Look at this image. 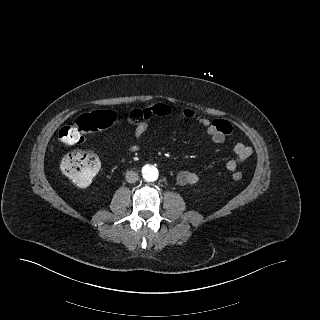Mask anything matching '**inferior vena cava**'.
<instances>
[{"label":"inferior vena cava","instance_id":"602c4592","mask_svg":"<svg viewBox=\"0 0 320 320\" xmlns=\"http://www.w3.org/2000/svg\"><path fill=\"white\" fill-rule=\"evenodd\" d=\"M126 181L129 183H134L139 179L138 173H136L135 171H128L126 173Z\"/></svg>","mask_w":320,"mask_h":320}]
</instances>
